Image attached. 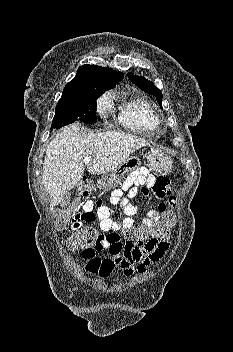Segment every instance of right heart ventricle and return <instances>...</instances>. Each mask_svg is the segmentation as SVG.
Wrapping results in <instances>:
<instances>
[{
	"mask_svg": "<svg viewBox=\"0 0 233 352\" xmlns=\"http://www.w3.org/2000/svg\"><path fill=\"white\" fill-rule=\"evenodd\" d=\"M121 125L130 131L151 133L159 126V116L144 98L135 97L125 102L119 111Z\"/></svg>",
	"mask_w": 233,
	"mask_h": 352,
	"instance_id": "right-heart-ventricle-1",
	"label": "right heart ventricle"
}]
</instances>
